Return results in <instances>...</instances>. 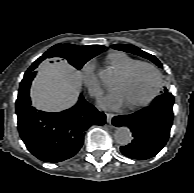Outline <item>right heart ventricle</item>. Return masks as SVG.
<instances>
[{
    "mask_svg": "<svg viewBox=\"0 0 194 193\" xmlns=\"http://www.w3.org/2000/svg\"><path fill=\"white\" fill-rule=\"evenodd\" d=\"M108 62L114 67L120 74L140 62L139 60L127 55L124 52H114L108 55Z\"/></svg>",
    "mask_w": 194,
    "mask_h": 193,
    "instance_id": "obj_1",
    "label": "right heart ventricle"
}]
</instances>
